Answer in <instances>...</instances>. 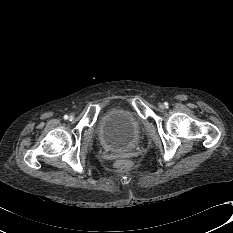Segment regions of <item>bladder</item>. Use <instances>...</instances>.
<instances>
[{
    "instance_id": "1",
    "label": "bladder",
    "mask_w": 233,
    "mask_h": 233,
    "mask_svg": "<svg viewBox=\"0 0 233 233\" xmlns=\"http://www.w3.org/2000/svg\"><path fill=\"white\" fill-rule=\"evenodd\" d=\"M142 124L132 111L123 107L107 110L96 125L97 136L103 146L118 152H128L138 143Z\"/></svg>"
}]
</instances>
